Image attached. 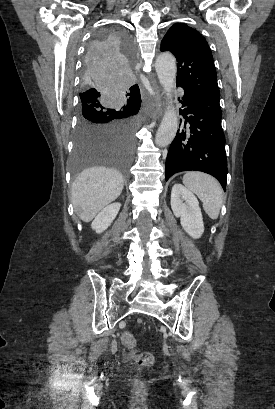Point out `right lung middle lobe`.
I'll list each match as a JSON object with an SVG mask.
<instances>
[{
  "label": "right lung middle lobe",
  "instance_id": "dd1d6c3e",
  "mask_svg": "<svg viewBox=\"0 0 275 409\" xmlns=\"http://www.w3.org/2000/svg\"><path fill=\"white\" fill-rule=\"evenodd\" d=\"M135 43L123 24H105L91 39L79 78L78 123L71 156L72 177L91 167L113 165L125 181L137 143V118L141 102L125 103L119 92L131 84Z\"/></svg>",
  "mask_w": 275,
  "mask_h": 409
}]
</instances>
